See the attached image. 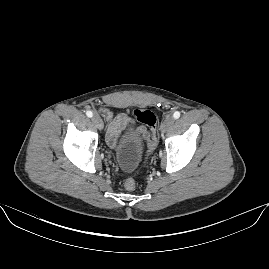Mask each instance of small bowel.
I'll list each match as a JSON object with an SVG mask.
<instances>
[{
    "label": "small bowel",
    "mask_w": 269,
    "mask_h": 269,
    "mask_svg": "<svg viewBox=\"0 0 269 269\" xmlns=\"http://www.w3.org/2000/svg\"><path fill=\"white\" fill-rule=\"evenodd\" d=\"M102 112L110 119L107 139L111 145H114L122 131L129 125V117L126 113H120L113 117L112 112L108 108H103ZM138 132L144 140L147 139V131L144 128H138Z\"/></svg>",
    "instance_id": "small-bowel-1"
}]
</instances>
